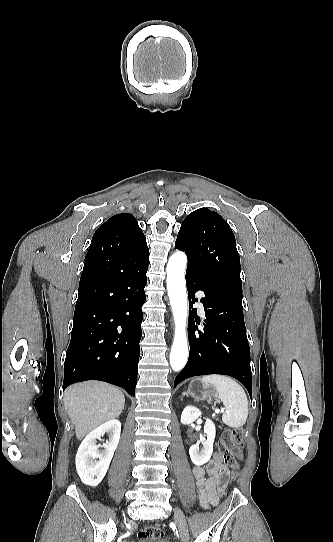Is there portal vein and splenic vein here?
I'll return each mask as SVG.
<instances>
[{"mask_svg":"<svg viewBox=\"0 0 333 542\" xmlns=\"http://www.w3.org/2000/svg\"><path fill=\"white\" fill-rule=\"evenodd\" d=\"M214 412H225V410L222 408V410H214Z\"/></svg>","mask_w":333,"mask_h":542,"instance_id":"obj_1","label":"portal vein and splenic vein"}]
</instances>
